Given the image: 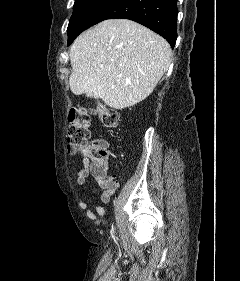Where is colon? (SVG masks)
Instances as JSON below:
<instances>
[{"label":"colon","mask_w":240,"mask_h":281,"mask_svg":"<svg viewBox=\"0 0 240 281\" xmlns=\"http://www.w3.org/2000/svg\"><path fill=\"white\" fill-rule=\"evenodd\" d=\"M92 116L97 117L105 128H114L118 123V114L105 105L93 109L73 107L68 114L67 149L71 155L87 158L90 168L103 175L112 157L105 140H90L89 124Z\"/></svg>","instance_id":"1"}]
</instances>
